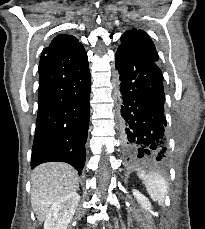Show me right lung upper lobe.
I'll use <instances>...</instances> for the list:
<instances>
[{
	"label": "right lung upper lobe",
	"mask_w": 205,
	"mask_h": 229,
	"mask_svg": "<svg viewBox=\"0 0 205 229\" xmlns=\"http://www.w3.org/2000/svg\"><path fill=\"white\" fill-rule=\"evenodd\" d=\"M51 50H55L58 58L70 69L82 67L88 62L83 45L71 35L60 34L56 36L51 44L44 48L40 60Z\"/></svg>",
	"instance_id": "right-lung-upper-lobe-1"
}]
</instances>
